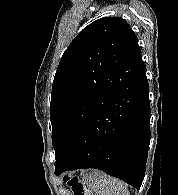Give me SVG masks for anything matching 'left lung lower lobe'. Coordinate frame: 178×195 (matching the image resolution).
<instances>
[{
    "mask_svg": "<svg viewBox=\"0 0 178 195\" xmlns=\"http://www.w3.org/2000/svg\"><path fill=\"white\" fill-rule=\"evenodd\" d=\"M149 141V86L143 65L84 124L55 162V174L95 168L139 189Z\"/></svg>",
    "mask_w": 178,
    "mask_h": 195,
    "instance_id": "0a47b994",
    "label": "left lung lower lobe"
}]
</instances>
